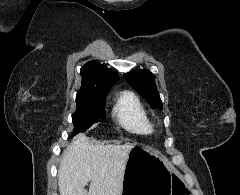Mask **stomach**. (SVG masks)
<instances>
[{
    "mask_svg": "<svg viewBox=\"0 0 240 195\" xmlns=\"http://www.w3.org/2000/svg\"><path fill=\"white\" fill-rule=\"evenodd\" d=\"M171 171L166 157L147 145L130 149L121 195H171Z\"/></svg>",
    "mask_w": 240,
    "mask_h": 195,
    "instance_id": "0dacf381",
    "label": "stomach"
}]
</instances>
